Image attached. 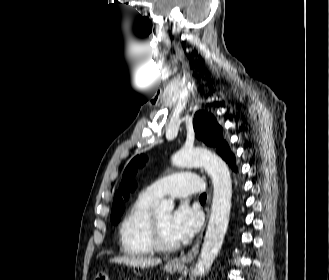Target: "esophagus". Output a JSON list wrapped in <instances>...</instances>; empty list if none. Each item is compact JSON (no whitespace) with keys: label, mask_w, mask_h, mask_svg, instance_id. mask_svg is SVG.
I'll use <instances>...</instances> for the list:
<instances>
[{"label":"esophagus","mask_w":329,"mask_h":280,"mask_svg":"<svg viewBox=\"0 0 329 280\" xmlns=\"http://www.w3.org/2000/svg\"><path fill=\"white\" fill-rule=\"evenodd\" d=\"M202 237H203V231L200 233V235L198 236L195 244L188 251V253L185 254V255H181L178 258L173 259L171 261V263L175 264V265H184L185 263L191 262L194 258H196L197 254L199 252V249H200Z\"/></svg>","instance_id":"obj_1"}]
</instances>
